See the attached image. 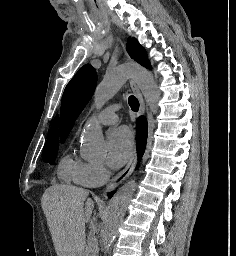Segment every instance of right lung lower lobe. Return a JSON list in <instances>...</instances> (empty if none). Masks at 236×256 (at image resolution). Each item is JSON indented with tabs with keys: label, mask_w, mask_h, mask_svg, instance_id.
<instances>
[{
	"label": "right lung lower lobe",
	"mask_w": 236,
	"mask_h": 256,
	"mask_svg": "<svg viewBox=\"0 0 236 256\" xmlns=\"http://www.w3.org/2000/svg\"><path fill=\"white\" fill-rule=\"evenodd\" d=\"M147 121L145 117L141 116L137 120V127H136V140H137V151H138V160L140 161L146 146L147 140ZM114 192H110L108 194L109 197H112Z\"/></svg>",
	"instance_id": "right-lung-lower-lobe-1"
}]
</instances>
